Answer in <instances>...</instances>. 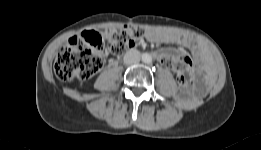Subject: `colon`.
<instances>
[{
	"label": "colon",
	"instance_id": "1",
	"mask_svg": "<svg viewBox=\"0 0 261 150\" xmlns=\"http://www.w3.org/2000/svg\"><path fill=\"white\" fill-rule=\"evenodd\" d=\"M144 34L137 26L125 25L104 32L90 31L72 37L59 51L54 72L58 79H87L102 66L107 53L119 56L134 47ZM173 69L179 83L187 85L192 78V61L185 54H174L164 60Z\"/></svg>",
	"mask_w": 261,
	"mask_h": 150
}]
</instances>
